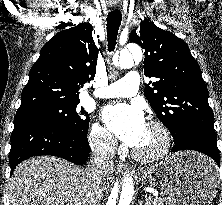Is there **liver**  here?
I'll use <instances>...</instances> for the list:
<instances>
[{"instance_id":"liver-1","label":"liver","mask_w":222,"mask_h":205,"mask_svg":"<svg viewBox=\"0 0 222 205\" xmlns=\"http://www.w3.org/2000/svg\"><path fill=\"white\" fill-rule=\"evenodd\" d=\"M107 175L99 184L87 170L54 156H37L20 163L8 183L10 205H84L88 193L102 200Z\"/></svg>"}]
</instances>
